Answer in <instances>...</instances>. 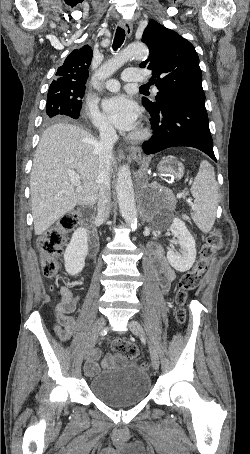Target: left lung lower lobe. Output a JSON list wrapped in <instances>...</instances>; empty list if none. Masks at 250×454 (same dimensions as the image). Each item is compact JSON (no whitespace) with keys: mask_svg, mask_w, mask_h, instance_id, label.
<instances>
[{"mask_svg":"<svg viewBox=\"0 0 250 454\" xmlns=\"http://www.w3.org/2000/svg\"><path fill=\"white\" fill-rule=\"evenodd\" d=\"M149 112L153 135L142 145L145 154L169 147L189 146L216 161L204 101L173 102Z\"/></svg>","mask_w":250,"mask_h":454,"instance_id":"0a47b994","label":"left lung lower lobe"}]
</instances>
